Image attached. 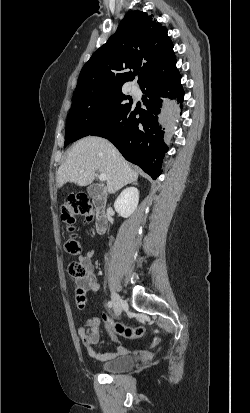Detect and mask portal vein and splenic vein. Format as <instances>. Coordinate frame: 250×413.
<instances>
[{
    "label": "portal vein and splenic vein",
    "instance_id": "18ae733b",
    "mask_svg": "<svg viewBox=\"0 0 250 413\" xmlns=\"http://www.w3.org/2000/svg\"><path fill=\"white\" fill-rule=\"evenodd\" d=\"M99 180L104 182L106 180V175L105 174H100L99 175Z\"/></svg>",
    "mask_w": 250,
    "mask_h": 413
}]
</instances>
